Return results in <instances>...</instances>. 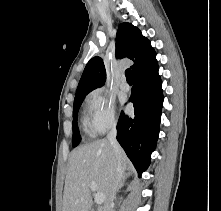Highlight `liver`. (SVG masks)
Returning a JSON list of instances; mask_svg holds the SVG:
<instances>
[{
	"label": "liver",
	"mask_w": 221,
	"mask_h": 211,
	"mask_svg": "<svg viewBox=\"0 0 221 211\" xmlns=\"http://www.w3.org/2000/svg\"><path fill=\"white\" fill-rule=\"evenodd\" d=\"M120 161L124 172L129 161L122 149ZM115 164L112 146L106 139L93 141L73 150L66 174L62 211H90L91 182L96 183L97 191L104 194L106 202Z\"/></svg>",
	"instance_id": "6515ba94"
}]
</instances>
